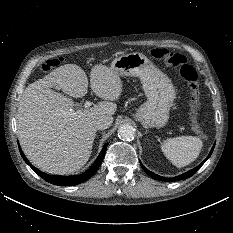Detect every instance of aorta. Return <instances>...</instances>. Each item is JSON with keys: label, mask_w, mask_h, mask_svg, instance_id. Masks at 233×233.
<instances>
[{"label": "aorta", "mask_w": 233, "mask_h": 233, "mask_svg": "<svg viewBox=\"0 0 233 233\" xmlns=\"http://www.w3.org/2000/svg\"><path fill=\"white\" fill-rule=\"evenodd\" d=\"M135 128L132 125H122L118 129V136L124 141H131L135 137Z\"/></svg>", "instance_id": "obj_1"}]
</instances>
